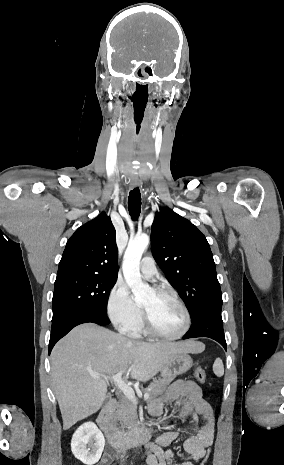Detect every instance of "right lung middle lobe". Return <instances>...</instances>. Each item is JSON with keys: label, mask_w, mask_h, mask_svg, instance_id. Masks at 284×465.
Here are the masks:
<instances>
[{"label": "right lung middle lobe", "mask_w": 284, "mask_h": 465, "mask_svg": "<svg viewBox=\"0 0 284 465\" xmlns=\"http://www.w3.org/2000/svg\"><path fill=\"white\" fill-rule=\"evenodd\" d=\"M117 278L72 275L56 278L52 299L53 318L74 309L107 313V301Z\"/></svg>", "instance_id": "dd1d6c3e"}]
</instances>
